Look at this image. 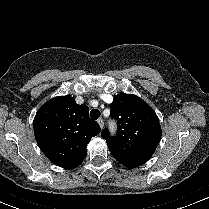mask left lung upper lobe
<instances>
[{"mask_svg":"<svg viewBox=\"0 0 209 209\" xmlns=\"http://www.w3.org/2000/svg\"><path fill=\"white\" fill-rule=\"evenodd\" d=\"M111 116L118 122V134L111 137L105 129L101 136L122 165L132 168L143 165L153 155L161 139L159 119L154 110L135 95L114 96Z\"/></svg>","mask_w":209,"mask_h":209,"instance_id":"obj_1","label":"left lung upper lobe"}]
</instances>
